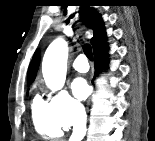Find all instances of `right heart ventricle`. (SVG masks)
Here are the masks:
<instances>
[{"instance_id":"e07e8e85","label":"right heart ventricle","mask_w":155,"mask_h":141,"mask_svg":"<svg viewBox=\"0 0 155 141\" xmlns=\"http://www.w3.org/2000/svg\"><path fill=\"white\" fill-rule=\"evenodd\" d=\"M32 118L36 131L45 137H59L62 128L55 120L50 104L36 95L31 104Z\"/></svg>"}]
</instances>
